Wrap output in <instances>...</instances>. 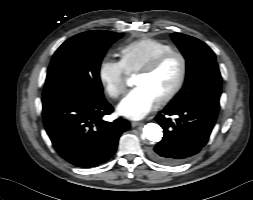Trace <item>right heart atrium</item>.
<instances>
[{
    "label": "right heart atrium",
    "instance_id": "obj_1",
    "mask_svg": "<svg viewBox=\"0 0 253 200\" xmlns=\"http://www.w3.org/2000/svg\"><path fill=\"white\" fill-rule=\"evenodd\" d=\"M98 78L106 94L113 99L120 97L126 90L127 73L120 61L102 59L98 67Z\"/></svg>",
    "mask_w": 253,
    "mask_h": 200
}]
</instances>
